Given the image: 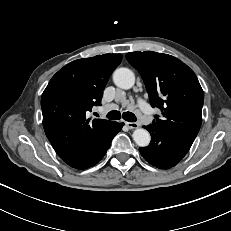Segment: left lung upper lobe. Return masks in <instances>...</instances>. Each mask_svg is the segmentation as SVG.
Here are the masks:
<instances>
[{
    "label": "left lung upper lobe",
    "instance_id": "1",
    "mask_svg": "<svg viewBox=\"0 0 231 231\" xmlns=\"http://www.w3.org/2000/svg\"><path fill=\"white\" fill-rule=\"evenodd\" d=\"M126 58L141 74L151 105L162 112L152 124L192 145L201 127L204 102L195 73L168 54L130 52Z\"/></svg>",
    "mask_w": 231,
    "mask_h": 231
}]
</instances>
